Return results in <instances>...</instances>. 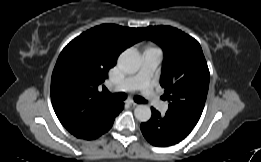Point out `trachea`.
<instances>
[{"instance_id":"3493384b","label":"trachea","mask_w":261,"mask_h":162,"mask_svg":"<svg viewBox=\"0 0 261 162\" xmlns=\"http://www.w3.org/2000/svg\"><path fill=\"white\" fill-rule=\"evenodd\" d=\"M105 94L109 95V96H112V98L115 100V101H124L126 99V95L125 93H115V94H110V92L105 89L104 90ZM134 101L137 102V103H146L147 101L140 97V96H136L134 98Z\"/></svg>"}]
</instances>
